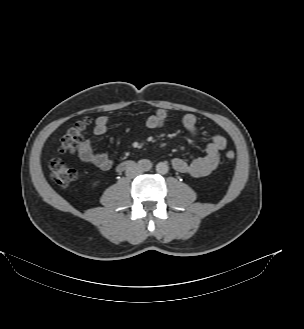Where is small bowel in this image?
<instances>
[{
	"mask_svg": "<svg viewBox=\"0 0 304 329\" xmlns=\"http://www.w3.org/2000/svg\"><path fill=\"white\" fill-rule=\"evenodd\" d=\"M167 119V112L159 109L147 118L145 126L148 129H158L166 123ZM110 122L111 119L108 116L98 117L95 122L94 134L97 136L104 135L108 130ZM182 124L191 136L198 134L197 118L194 114L184 115ZM226 144L227 140L224 136L215 135L206 145L203 157L192 161L177 157L172 160V166L175 171L187 174L192 178L205 177L217 168L220 161V152ZM78 156L83 162L102 170H109L113 165V161L108 154L94 151L90 140H84L79 144Z\"/></svg>",
	"mask_w": 304,
	"mask_h": 329,
	"instance_id": "obj_1",
	"label": "small bowel"
}]
</instances>
